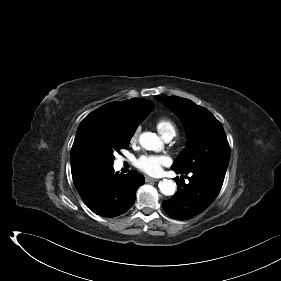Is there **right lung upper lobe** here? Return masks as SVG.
Wrapping results in <instances>:
<instances>
[{"mask_svg":"<svg viewBox=\"0 0 281 281\" xmlns=\"http://www.w3.org/2000/svg\"><path fill=\"white\" fill-rule=\"evenodd\" d=\"M152 108L151 101L133 98L108 103L88 114L78 127L71 149L73 181L103 169L102 154L109 141L133 135Z\"/></svg>","mask_w":281,"mask_h":281,"instance_id":"cb5924a9","label":"right lung upper lobe"}]
</instances>
